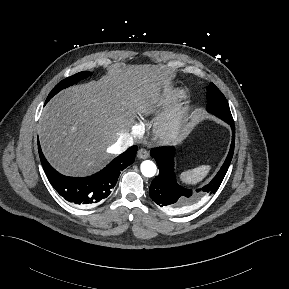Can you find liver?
<instances>
[{
	"label": "liver",
	"instance_id": "1",
	"mask_svg": "<svg viewBox=\"0 0 289 289\" xmlns=\"http://www.w3.org/2000/svg\"><path fill=\"white\" fill-rule=\"evenodd\" d=\"M164 73L155 65H123L99 81L72 86L42 111L39 139L49 163L66 176H87L112 159L111 146L160 97Z\"/></svg>",
	"mask_w": 289,
	"mask_h": 289
}]
</instances>
